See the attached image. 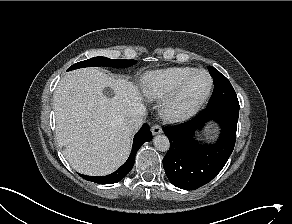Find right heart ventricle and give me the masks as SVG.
<instances>
[{"instance_id": "obj_1", "label": "right heart ventricle", "mask_w": 292, "mask_h": 224, "mask_svg": "<svg viewBox=\"0 0 292 224\" xmlns=\"http://www.w3.org/2000/svg\"><path fill=\"white\" fill-rule=\"evenodd\" d=\"M195 70L193 67H170L149 72L143 76L142 89L151 99L166 97L187 74Z\"/></svg>"}]
</instances>
